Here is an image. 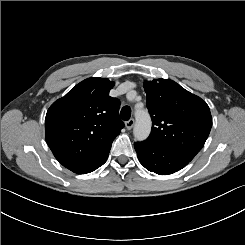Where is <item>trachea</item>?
<instances>
[{
    "label": "trachea",
    "mask_w": 245,
    "mask_h": 245,
    "mask_svg": "<svg viewBox=\"0 0 245 245\" xmlns=\"http://www.w3.org/2000/svg\"><path fill=\"white\" fill-rule=\"evenodd\" d=\"M120 116H121V119L127 121L130 119V116H131V109L129 106H124L122 109H121V112H120Z\"/></svg>",
    "instance_id": "3493384b"
}]
</instances>
